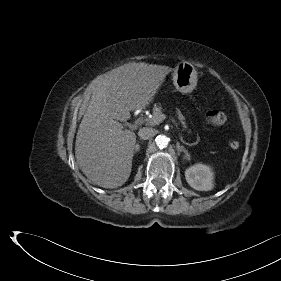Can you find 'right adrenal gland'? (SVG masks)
Returning a JSON list of instances; mask_svg holds the SVG:
<instances>
[{"label":"right adrenal gland","mask_w":281,"mask_h":281,"mask_svg":"<svg viewBox=\"0 0 281 281\" xmlns=\"http://www.w3.org/2000/svg\"><path fill=\"white\" fill-rule=\"evenodd\" d=\"M140 150V145H139V143H137L136 145H135V152H138Z\"/></svg>","instance_id":"1"}]
</instances>
